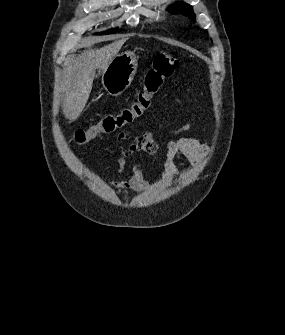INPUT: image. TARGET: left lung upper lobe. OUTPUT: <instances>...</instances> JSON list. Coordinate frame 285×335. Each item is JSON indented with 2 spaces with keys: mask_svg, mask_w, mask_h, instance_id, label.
<instances>
[{
  "mask_svg": "<svg viewBox=\"0 0 285 335\" xmlns=\"http://www.w3.org/2000/svg\"><path fill=\"white\" fill-rule=\"evenodd\" d=\"M171 13H181L185 16H188L191 20L195 21V14L192 11V6L183 3L178 2L171 6L169 9Z\"/></svg>",
  "mask_w": 285,
  "mask_h": 335,
  "instance_id": "5c2ea615",
  "label": "left lung upper lobe"
}]
</instances>
